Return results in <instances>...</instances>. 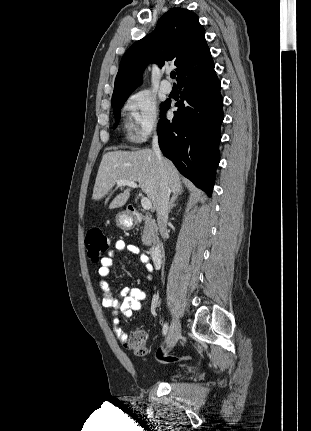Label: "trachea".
<instances>
[{
  "instance_id": "1",
  "label": "trachea",
  "mask_w": 311,
  "mask_h": 431,
  "mask_svg": "<svg viewBox=\"0 0 311 431\" xmlns=\"http://www.w3.org/2000/svg\"><path fill=\"white\" fill-rule=\"evenodd\" d=\"M170 76H171V78H175V76H176L175 72H171Z\"/></svg>"
}]
</instances>
